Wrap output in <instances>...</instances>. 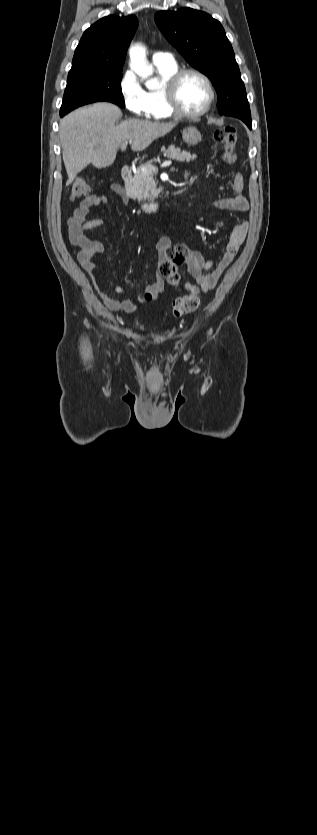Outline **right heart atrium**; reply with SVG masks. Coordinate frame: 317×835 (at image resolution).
Here are the masks:
<instances>
[{"label": "right heart atrium", "mask_w": 317, "mask_h": 835, "mask_svg": "<svg viewBox=\"0 0 317 835\" xmlns=\"http://www.w3.org/2000/svg\"><path fill=\"white\" fill-rule=\"evenodd\" d=\"M119 90L126 108L135 116L148 117L149 106L146 91L141 87L137 76L126 70L119 81Z\"/></svg>", "instance_id": "d8ad5b80"}]
</instances>
